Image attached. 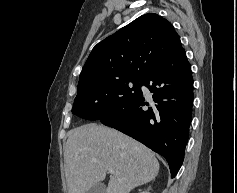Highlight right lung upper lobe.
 <instances>
[{
    "mask_svg": "<svg viewBox=\"0 0 237 193\" xmlns=\"http://www.w3.org/2000/svg\"><path fill=\"white\" fill-rule=\"evenodd\" d=\"M183 49L172 24L148 13L98 43L79 77L78 90L108 80L144 78Z\"/></svg>",
    "mask_w": 237,
    "mask_h": 193,
    "instance_id": "cb5924a9",
    "label": "right lung upper lobe"
}]
</instances>
